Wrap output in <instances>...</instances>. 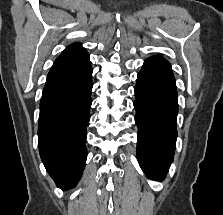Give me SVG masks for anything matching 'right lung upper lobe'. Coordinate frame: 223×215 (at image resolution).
<instances>
[{"label":"right lung upper lobe","instance_id":"cb5924a9","mask_svg":"<svg viewBox=\"0 0 223 215\" xmlns=\"http://www.w3.org/2000/svg\"><path fill=\"white\" fill-rule=\"evenodd\" d=\"M89 68H91L89 54L81 44H71L55 60L45 86L77 78Z\"/></svg>","mask_w":223,"mask_h":215}]
</instances>
